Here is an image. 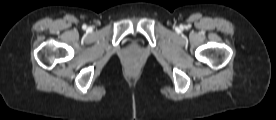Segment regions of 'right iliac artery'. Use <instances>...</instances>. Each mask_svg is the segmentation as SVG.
Here are the masks:
<instances>
[{"label":"right iliac artery","mask_w":276,"mask_h":120,"mask_svg":"<svg viewBox=\"0 0 276 120\" xmlns=\"http://www.w3.org/2000/svg\"><path fill=\"white\" fill-rule=\"evenodd\" d=\"M86 27H87L86 25H83V26H82L83 29H86Z\"/></svg>","instance_id":"1"}]
</instances>
